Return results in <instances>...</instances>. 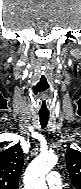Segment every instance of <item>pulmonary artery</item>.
Listing matches in <instances>:
<instances>
[{"label":"pulmonary artery","mask_w":81,"mask_h":189,"mask_svg":"<svg viewBox=\"0 0 81 189\" xmlns=\"http://www.w3.org/2000/svg\"><path fill=\"white\" fill-rule=\"evenodd\" d=\"M47 184L51 189H61L62 180L57 172H50L46 178Z\"/></svg>","instance_id":"pulmonary-artery-1"}]
</instances>
